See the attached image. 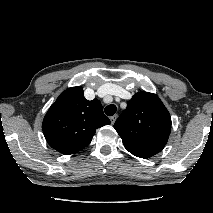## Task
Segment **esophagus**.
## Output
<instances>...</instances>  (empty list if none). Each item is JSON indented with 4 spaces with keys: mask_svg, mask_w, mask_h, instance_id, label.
I'll return each instance as SVG.
<instances>
[{
    "mask_svg": "<svg viewBox=\"0 0 213 213\" xmlns=\"http://www.w3.org/2000/svg\"><path fill=\"white\" fill-rule=\"evenodd\" d=\"M117 119V115H113L110 117L111 124H114Z\"/></svg>",
    "mask_w": 213,
    "mask_h": 213,
    "instance_id": "esophagus-1",
    "label": "esophagus"
}]
</instances>
